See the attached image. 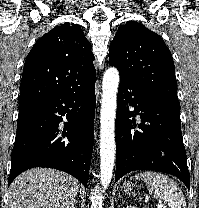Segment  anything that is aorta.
Returning a JSON list of instances; mask_svg holds the SVG:
<instances>
[{"instance_id":"1","label":"aorta","mask_w":199,"mask_h":208,"mask_svg":"<svg viewBox=\"0 0 199 208\" xmlns=\"http://www.w3.org/2000/svg\"><path fill=\"white\" fill-rule=\"evenodd\" d=\"M119 72L116 68H108L103 76L102 105L100 116V182L103 189L109 186L115 161V117Z\"/></svg>"}]
</instances>
